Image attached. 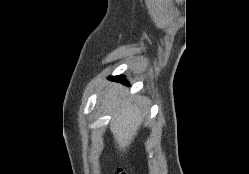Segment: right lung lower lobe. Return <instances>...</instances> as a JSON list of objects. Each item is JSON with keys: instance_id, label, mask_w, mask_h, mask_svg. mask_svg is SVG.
Returning <instances> with one entry per match:
<instances>
[{"instance_id": "obj_1", "label": "right lung lower lobe", "mask_w": 249, "mask_h": 174, "mask_svg": "<svg viewBox=\"0 0 249 174\" xmlns=\"http://www.w3.org/2000/svg\"><path fill=\"white\" fill-rule=\"evenodd\" d=\"M112 79H114L115 81H120V82L127 84V81L123 76H116V77H113Z\"/></svg>"}]
</instances>
